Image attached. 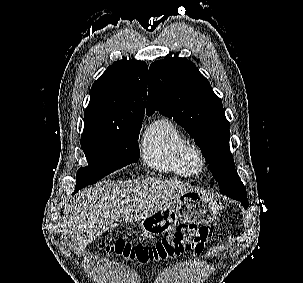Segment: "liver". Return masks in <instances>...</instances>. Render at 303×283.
I'll list each match as a JSON object with an SVG mask.
<instances>
[{
	"label": "liver",
	"instance_id": "liver-1",
	"mask_svg": "<svg viewBox=\"0 0 303 283\" xmlns=\"http://www.w3.org/2000/svg\"><path fill=\"white\" fill-rule=\"evenodd\" d=\"M194 191L176 180L150 178L138 182L105 181L82 190L64 211V224L75 250L84 249L105 231L142 221L176 197Z\"/></svg>",
	"mask_w": 303,
	"mask_h": 283
}]
</instances>
